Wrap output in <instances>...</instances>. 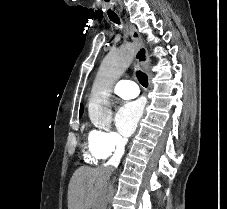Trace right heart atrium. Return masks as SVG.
I'll return each mask as SVG.
<instances>
[{"label":"right heart atrium","instance_id":"1","mask_svg":"<svg viewBox=\"0 0 227 209\" xmlns=\"http://www.w3.org/2000/svg\"><path fill=\"white\" fill-rule=\"evenodd\" d=\"M89 140L95 144L106 158L120 154L126 144V139L113 131L92 130Z\"/></svg>","mask_w":227,"mask_h":209}]
</instances>
